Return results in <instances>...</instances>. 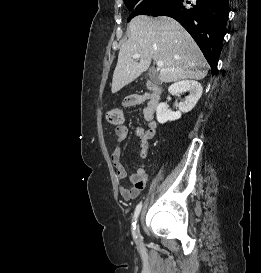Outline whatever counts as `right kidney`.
<instances>
[{"mask_svg":"<svg viewBox=\"0 0 261 273\" xmlns=\"http://www.w3.org/2000/svg\"><path fill=\"white\" fill-rule=\"evenodd\" d=\"M203 88L201 84L195 80H183L171 85L168 92L172 95H179L184 92H189L184 102H180L179 110L171 111L168 105L164 102L160 103L156 109L157 121L164 124L167 121H175L181 118L182 113L191 111L202 95Z\"/></svg>","mask_w":261,"mask_h":273,"instance_id":"ca27d5eb","label":"right kidney"}]
</instances>
